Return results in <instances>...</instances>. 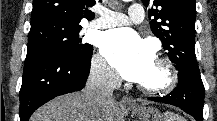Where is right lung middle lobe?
Instances as JSON below:
<instances>
[{"mask_svg": "<svg viewBox=\"0 0 217 121\" xmlns=\"http://www.w3.org/2000/svg\"><path fill=\"white\" fill-rule=\"evenodd\" d=\"M79 24L47 19L31 23L28 36L27 56L41 54L71 56L75 59L86 58L93 46L82 43Z\"/></svg>", "mask_w": 217, "mask_h": 121, "instance_id": "obj_1", "label": "right lung middle lobe"}]
</instances>
